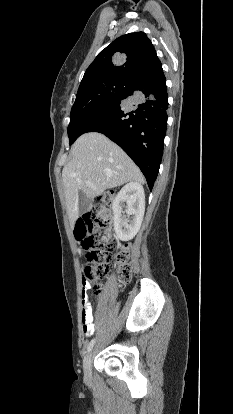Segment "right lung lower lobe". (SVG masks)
<instances>
[{
	"label": "right lung lower lobe",
	"mask_w": 233,
	"mask_h": 414,
	"mask_svg": "<svg viewBox=\"0 0 233 414\" xmlns=\"http://www.w3.org/2000/svg\"><path fill=\"white\" fill-rule=\"evenodd\" d=\"M131 82L124 95L82 124L79 136L99 132L117 143L141 169L152 190L163 155L167 126L166 79L162 70Z\"/></svg>",
	"instance_id": "98d812e1"
}]
</instances>
